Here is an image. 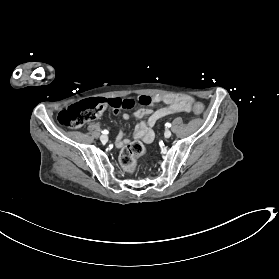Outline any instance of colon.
<instances>
[{
  "label": "colon",
  "mask_w": 279,
  "mask_h": 279,
  "mask_svg": "<svg viewBox=\"0 0 279 279\" xmlns=\"http://www.w3.org/2000/svg\"><path fill=\"white\" fill-rule=\"evenodd\" d=\"M154 102V98L149 96H139L137 98H94L81 101L73 104L58 115V120L61 124L70 127L78 128L86 122L101 115L107 107L114 109H131L135 105L149 106ZM204 106L201 103L193 105V112L196 115L202 114ZM145 151L143 144L139 141L132 142L125 147L120 154V164L122 168L128 172L135 167L136 159Z\"/></svg>",
  "instance_id": "colon-1"
}]
</instances>
